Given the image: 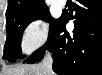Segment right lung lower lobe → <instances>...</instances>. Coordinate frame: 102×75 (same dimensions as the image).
<instances>
[{
	"label": "right lung lower lobe",
	"mask_w": 102,
	"mask_h": 75,
	"mask_svg": "<svg viewBox=\"0 0 102 75\" xmlns=\"http://www.w3.org/2000/svg\"><path fill=\"white\" fill-rule=\"evenodd\" d=\"M75 14H62L49 32L47 43L23 63L39 62L46 49L52 52L53 71L59 75L102 74V1L77 0ZM75 19L69 34L65 25Z\"/></svg>",
	"instance_id": "98d812e1"
}]
</instances>
